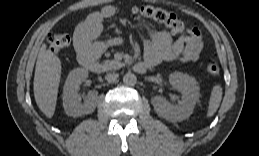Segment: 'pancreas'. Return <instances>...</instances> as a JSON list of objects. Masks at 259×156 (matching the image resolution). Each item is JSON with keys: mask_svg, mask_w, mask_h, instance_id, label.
I'll use <instances>...</instances> for the list:
<instances>
[{"mask_svg": "<svg viewBox=\"0 0 259 156\" xmlns=\"http://www.w3.org/2000/svg\"><path fill=\"white\" fill-rule=\"evenodd\" d=\"M123 66H124V63H121L118 60H105L103 63V67L106 70H118Z\"/></svg>", "mask_w": 259, "mask_h": 156, "instance_id": "1", "label": "pancreas"}]
</instances>
